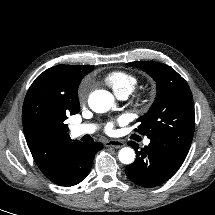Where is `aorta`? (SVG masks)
Instances as JSON below:
<instances>
[{
	"instance_id": "1",
	"label": "aorta",
	"mask_w": 215,
	"mask_h": 215,
	"mask_svg": "<svg viewBox=\"0 0 215 215\" xmlns=\"http://www.w3.org/2000/svg\"><path fill=\"white\" fill-rule=\"evenodd\" d=\"M89 107L97 113L107 112L114 105L113 95L105 90L92 92L88 99ZM119 160L123 164H131L135 159V152L132 148L124 147L119 151Z\"/></svg>"
}]
</instances>
